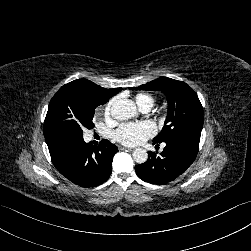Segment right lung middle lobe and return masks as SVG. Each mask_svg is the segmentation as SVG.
Wrapping results in <instances>:
<instances>
[{"instance_id": "right-lung-middle-lobe-1", "label": "right lung middle lobe", "mask_w": 251, "mask_h": 251, "mask_svg": "<svg viewBox=\"0 0 251 251\" xmlns=\"http://www.w3.org/2000/svg\"><path fill=\"white\" fill-rule=\"evenodd\" d=\"M94 110L68 90L60 88L50 101L44 121V136L61 133L82 137L83 129L94 127Z\"/></svg>"}]
</instances>
